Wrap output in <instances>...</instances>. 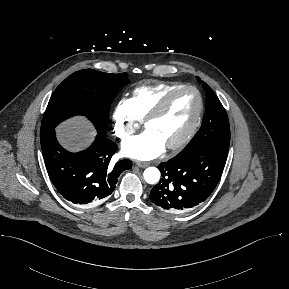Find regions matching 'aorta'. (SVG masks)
Wrapping results in <instances>:
<instances>
[{
	"mask_svg": "<svg viewBox=\"0 0 289 289\" xmlns=\"http://www.w3.org/2000/svg\"><path fill=\"white\" fill-rule=\"evenodd\" d=\"M143 175L148 184H156L160 179V171L155 167H148Z\"/></svg>",
	"mask_w": 289,
	"mask_h": 289,
	"instance_id": "obj_1",
	"label": "aorta"
}]
</instances>
